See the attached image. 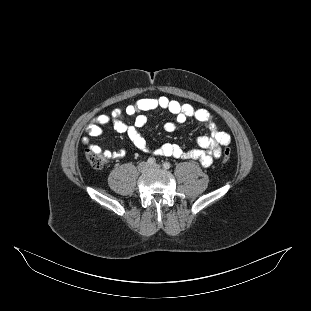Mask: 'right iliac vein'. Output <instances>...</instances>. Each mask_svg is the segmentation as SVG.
<instances>
[{"instance_id":"63e3f726","label":"right iliac vein","mask_w":311,"mask_h":311,"mask_svg":"<svg viewBox=\"0 0 311 311\" xmlns=\"http://www.w3.org/2000/svg\"><path fill=\"white\" fill-rule=\"evenodd\" d=\"M139 170L141 171V172H145V171H147L148 170V168H149V165L146 163V162H142V163H140L139 164Z\"/></svg>"}]
</instances>
